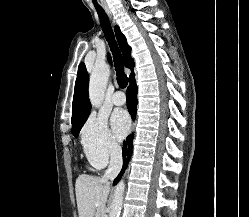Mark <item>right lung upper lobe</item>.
I'll return each mask as SVG.
<instances>
[{
  "instance_id": "right-lung-upper-lobe-1",
  "label": "right lung upper lobe",
  "mask_w": 249,
  "mask_h": 217,
  "mask_svg": "<svg viewBox=\"0 0 249 217\" xmlns=\"http://www.w3.org/2000/svg\"><path fill=\"white\" fill-rule=\"evenodd\" d=\"M115 34L122 51L125 66L131 69V78L134 75V61L131 58V48L127 44L125 36L121 33L118 26H115ZM108 59L111 60L110 55H108ZM88 83L89 76L84 63H80L78 67L77 78L75 82V90L72 104V126L81 122L85 118L88 117L91 104L88 97Z\"/></svg>"
}]
</instances>
